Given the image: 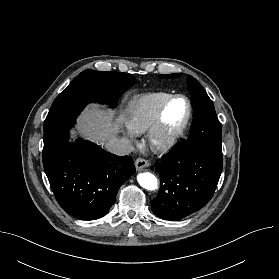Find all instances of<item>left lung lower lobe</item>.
<instances>
[{
	"label": "left lung lower lobe",
	"mask_w": 279,
	"mask_h": 279,
	"mask_svg": "<svg viewBox=\"0 0 279 279\" xmlns=\"http://www.w3.org/2000/svg\"><path fill=\"white\" fill-rule=\"evenodd\" d=\"M222 155L190 142L178 143L155 164L160 189L151 201L153 213L179 220L203 208L212 198L222 171Z\"/></svg>",
	"instance_id": "0a47b994"
}]
</instances>
